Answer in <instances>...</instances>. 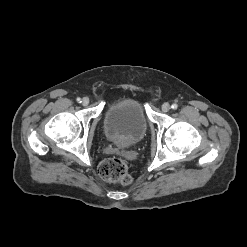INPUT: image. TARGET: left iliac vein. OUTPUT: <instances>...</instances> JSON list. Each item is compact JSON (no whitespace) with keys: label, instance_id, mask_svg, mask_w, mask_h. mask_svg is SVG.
Instances as JSON below:
<instances>
[{"label":"left iliac vein","instance_id":"left-iliac-vein-1","mask_svg":"<svg viewBox=\"0 0 247 247\" xmlns=\"http://www.w3.org/2000/svg\"><path fill=\"white\" fill-rule=\"evenodd\" d=\"M161 108L163 112H168L170 110V105L169 103H164Z\"/></svg>","mask_w":247,"mask_h":247}]
</instances>
